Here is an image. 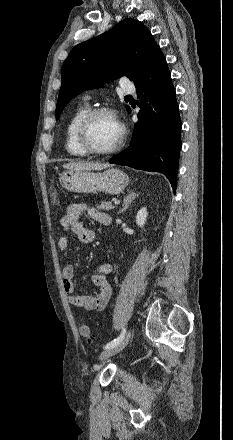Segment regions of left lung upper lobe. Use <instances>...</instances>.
<instances>
[{"label": "left lung upper lobe", "instance_id": "obj_1", "mask_svg": "<svg viewBox=\"0 0 233 440\" xmlns=\"http://www.w3.org/2000/svg\"><path fill=\"white\" fill-rule=\"evenodd\" d=\"M161 52L150 31L132 18L111 30L76 45L63 63L62 85L55 116L81 91L102 86L126 75L134 83L142 78ZM128 111L129 107L126 108Z\"/></svg>", "mask_w": 233, "mask_h": 440}]
</instances>
